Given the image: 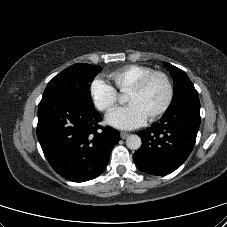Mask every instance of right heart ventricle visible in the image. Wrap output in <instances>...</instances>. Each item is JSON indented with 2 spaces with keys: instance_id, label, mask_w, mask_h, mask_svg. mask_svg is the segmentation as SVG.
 <instances>
[{
  "instance_id": "e07e8e85",
  "label": "right heart ventricle",
  "mask_w": 227,
  "mask_h": 227,
  "mask_svg": "<svg viewBox=\"0 0 227 227\" xmlns=\"http://www.w3.org/2000/svg\"><path fill=\"white\" fill-rule=\"evenodd\" d=\"M152 71L153 68L149 66L131 64L114 70L109 74V77L114 82L118 91L126 92L136 81Z\"/></svg>"
}]
</instances>
